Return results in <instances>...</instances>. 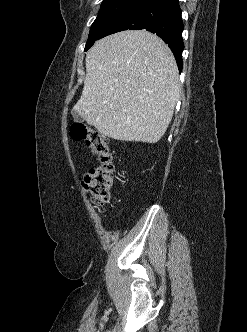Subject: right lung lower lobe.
I'll return each mask as SVG.
<instances>
[{
    "label": "right lung lower lobe",
    "mask_w": 247,
    "mask_h": 332,
    "mask_svg": "<svg viewBox=\"0 0 247 332\" xmlns=\"http://www.w3.org/2000/svg\"><path fill=\"white\" fill-rule=\"evenodd\" d=\"M142 29L155 33L168 44L181 72L183 68L182 31L184 25L179 1L149 0L110 24L100 35V38L124 30Z\"/></svg>",
    "instance_id": "1"
}]
</instances>
